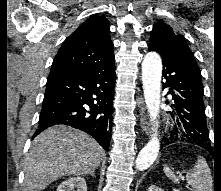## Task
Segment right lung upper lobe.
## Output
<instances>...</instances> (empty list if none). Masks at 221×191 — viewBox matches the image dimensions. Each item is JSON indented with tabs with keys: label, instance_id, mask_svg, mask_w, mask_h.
Returning <instances> with one entry per match:
<instances>
[{
	"label": "right lung upper lobe",
	"instance_id": "obj_1",
	"mask_svg": "<svg viewBox=\"0 0 221 191\" xmlns=\"http://www.w3.org/2000/svg\"><path fill=\"white\" fill-rule=\"evenodd\" d=\"M107 18L92 16L62 44L48 79L95 71L115 64Z\"/></svg>",
	"mask_w": 221,
	"mask_h": 191
}]
</instances>
